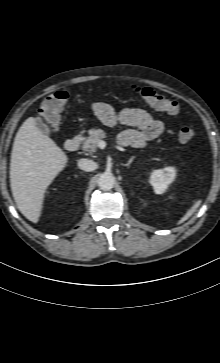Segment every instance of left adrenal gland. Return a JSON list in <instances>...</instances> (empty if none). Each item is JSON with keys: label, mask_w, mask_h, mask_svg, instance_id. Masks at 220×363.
<instances>
[{"label": "left adrenal gland", "mask_w": 220, "mask_h": 363, "mask_svg": "<svg viewBox=\"0 0 220 363\" xmlns=\"http://www.w3.org/2000/svg\"><path fill=\"white\" fill-rule=\"evenodd\" d=\"M134 158H135V156H132V157L129 159V161L127 162V164H124V166L129 167V166H130V164L132 163V161L134 160Z\"/></svg>", "instance_id": "a2214340"}]
</instances>
